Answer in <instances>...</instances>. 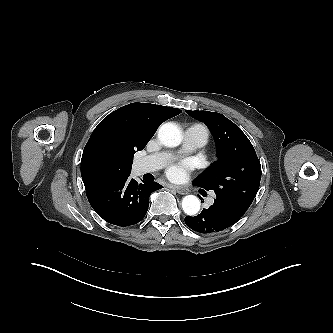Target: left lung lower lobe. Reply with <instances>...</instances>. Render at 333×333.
I'll return each instance as SVG.
<instances>
[{"mask_svg": "<svg viewBox=\"0 0 333 333\" xmlns=\"http://www.w3.org/2000/svg\"><path fill=\"white\" fill-rule=\"evenodd\" d=\"M195 185V184H194ZM249 207L216 194L214 204L194 217H185L186 225L194 231L211 234L235 224Z\"/></svg>", "mask_w": 333, "mask_h": 333, "instance_id": "obj_1", "label": "left lung lower lobe"}]
</instances>
